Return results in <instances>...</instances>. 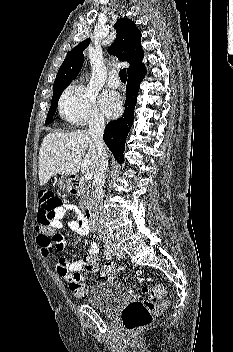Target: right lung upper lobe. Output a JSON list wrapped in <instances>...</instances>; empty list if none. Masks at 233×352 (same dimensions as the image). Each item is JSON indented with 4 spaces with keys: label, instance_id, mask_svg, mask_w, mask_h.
<instances>
[{
    "label": "right lung upper lobe",
    "instance_id": "right-lung-upper-lobe-1",
    "mask_svg": "<svg viewBox=\"0 0 233 352\" xmlns=\"http://www.w3.org/2000/svg\"><path fill=\"white\" fill-rule=\"evenodd\" d=\"M116 39L108 48L110 55L116 56L120 61L130 64L127 69L128 77L144 72L145 66L142 63L144 56L140 39L141 32L135 23L127 18H120L114 25ZM90 39H86L75 46L66 56L57 73L54 88L68 86L79 74L83 62V51L88 47Z\"/></svg>",
    "mask_w": 233,
    "mask_h": 352
}]
</instances>
